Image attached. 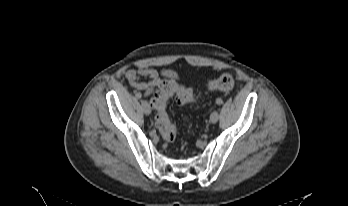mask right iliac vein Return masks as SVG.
I'll use <instances>...</instances> for the list:
<instances>
[{"mask_svg":"<svg viewBox=\"0 0 348 206\" xmlns=\"http://www.w3.org/2000/svg\"><path fill=\"white\" fill-rule=\"evenodd\" d=\"M142 109H143V112L146 114V115H150L151 113V108L148 104V102L146 100H143L142 101Z\"/></svg>","mask_w":348,"mask_h":206,"instance_id":"obj_1","label":"right iliac vein"}]
</instances>
